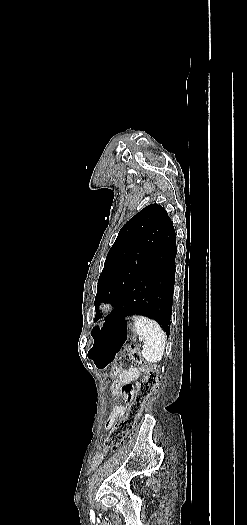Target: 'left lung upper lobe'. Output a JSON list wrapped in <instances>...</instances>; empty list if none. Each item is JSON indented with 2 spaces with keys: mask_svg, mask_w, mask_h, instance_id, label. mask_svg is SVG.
Wrapping results in <instances>:
<instances>
[{
  "mask_svg": "<svg viewBox=\"0 0 247 525\" xmlns=\"http://www.w3.org/2000/svg\"><path fill=\"white\" fill-rule=\"evenodd\" d=\"M171 222L163 207L151 204L120 229L98 280L94 321L100 318L99 303L110 301L117 304L125 296Z\"/></svg>",
  "mask_w": 247,
  "mask_h": 525,
  "instance_id": "left-lung-upper-lobe-1",
  "label": "left lung upper lobe"
}]
</instances>
